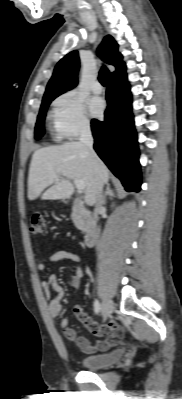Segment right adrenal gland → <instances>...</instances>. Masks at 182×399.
I'll list each match as a JSON object with an SVG mask.
<instances>
[{"label":"right adrenal gland","mask_w":182,"mask_h":399,"mask_svg":"<svg viewBox=\"0 0 182 399\" xmlns=\"http://www.w3.org/2000/svg\"><path fill=\"white\" fill-rule=\"evenodd\" d=\"M114 195H115L114 191L110 188V184H107L106 191H105V194L103 196V204L106 203V197L107 196L114 197Z\"/></svg>","instance_id":"2a0ac1e0"}]
</instances>
